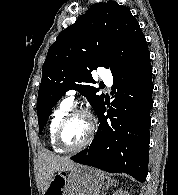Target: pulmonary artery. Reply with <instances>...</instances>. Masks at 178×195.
<instances>
[{
    "label": "pulmonary artery",
    "mask_w": 178,
    "mask_h": 195,
    "mask_svg": "<svg viewBox=\"0 0 178 195\" xmlns=\"http://www.w3.org/2000/svg\"><path fill=\"white\" fill-rule=\"evenodd\" d=\"M101 79L107 85L112 84V77H111V74L109 73V71L107 69L103 70V73L101 75ZM76 95H77V90L76 89H70L66 92L63 101H65L66 103L72 105L74 103Z\"/></svg>",
    "instance_id": "e3ab8cb5"
}]
</instances>
